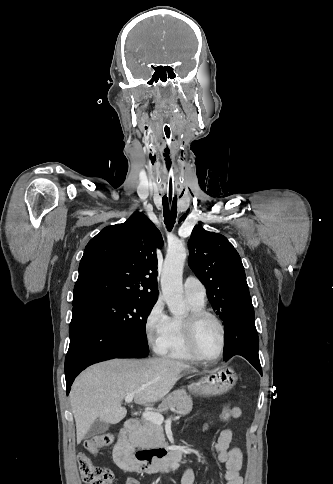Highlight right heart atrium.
I'll use <instances>...</instances> for the list:
<instances>
[{
    "instance_id": "d8ad5b80",
    "label": "right heart atrium",
    "mask_w": 333,
    "mask_h": 484,
    "mask_svg": "<svg viewBox=\"0 0 333 484\" xmlns=\"http://www.w3.org/2000/svg\"><path fill=\"white\" fill-rule=\"evenodd\" d=\"M169 316L161 299L156 300L144 319V333L148 344L157 352L163 347Z\"/></svg>"
}]
</instances>
